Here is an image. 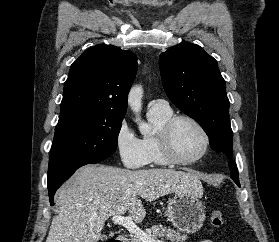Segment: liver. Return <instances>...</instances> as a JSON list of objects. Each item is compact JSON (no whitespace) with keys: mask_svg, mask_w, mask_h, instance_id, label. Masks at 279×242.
I'll list each match as a JSON object with an SVG mask.
<instances>
[{"mask_svg":"<svg viewBox=\"0 0 279 242\" xmlns=\"http://www.w3.org/2000/svg\"><path fill=\"white\" fill-rule=\"evenodd\" d=\"M202 190L197 176L182 171L86 165L57 191L58 214L46 242H98L110 216L128 211L136 223L144 219L146 211L139 197L153 201L170 193L201 195Z\"/></svg>","mask_w":279,"mask_h":242,"instance_id":"liver-1","label":"liver"}]
</instances>
